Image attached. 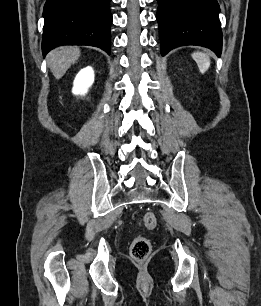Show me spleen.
Returning <instances> with one entry per match:
<instances>
[{
	"instance_id": "obj_1",
	"label": "spleen",
	"mask_w": 261,
	"mask_h": 306,
	"mask_svg": "<svg viewBox=\"0 0 261 306\" xmlns=\"http://www.w3.org/2000/svg\"><path fill=\"white\" fill-rule=\"evenodd\" d=\"M193 59L197 63L199 70L204 74L210 67V57L204 52H195L192 55Z\"/></svg>"
}]
</instances>
